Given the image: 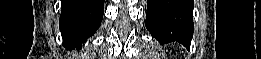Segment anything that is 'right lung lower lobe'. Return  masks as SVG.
<instances>
[{
  "instance_id": "right-lung-lower-lobe-1",
  "label": "right lung lower lobe",
  "mask_w": 261,
  "mask_h": 59,
  "mask_svg": "<svg viewBox=\"0 0 261 59\" xmlns=\"http://www.w3.org/2000/svg\"><path fill=\"white\" fill-rule=\"evenodd\" d=\"M104 0H62L60 31L63 46L81 48L99 28Z\"/></svg>"
}]
</instances>
